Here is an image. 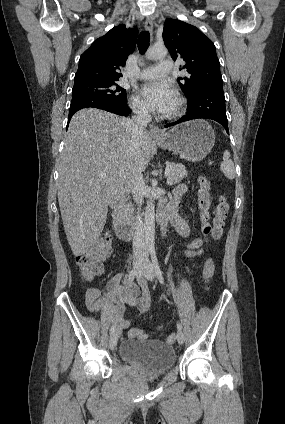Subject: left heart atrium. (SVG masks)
Here are the masks:
<instances>
[{
  "mask_svg": "<svg viewBox=\"0 0 285 424\" xmlns=\"http://www.w3.org/2000/svg\"><path fill=\"white\" fill-rule=\"evenodd\" d=\"M141 94L148 107L159 114H167L176 99L174 89L164 81L146 83L142 87Z\"/></svg>",
  "mask_w": 285,
  "mask_h": 424,
  "instance_id": "left-heart-atrium-1",
  "label": "left heart atrium"
}]
</instances>
